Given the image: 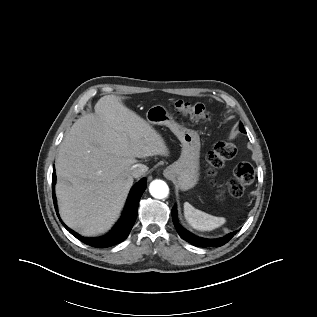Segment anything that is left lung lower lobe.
Wrapping results in <instances>:
<instances>
[{"mask_svg": "<svg viewBox=\"0 0 317 317\" xmlns=\"http://www.w3.org/2000/svg\"><path fill=\"white\" fill-rule=\"evenodd\" d=\"M172 220L174 223V226L180 235L182 239L185 241L191 243L194 246L197 247H220L226 244L236 233L237 231L231 232L228 235L218 238V239H206L202 237H198L189 231H187L185 228H183L177 219V212H176V206L172 209Z\"/></svg>", "mask_w": 317, "mask_h": 317, "instance_id": "left-lung-lower-lobe-1", "label": "left lung lower lobe"}]
</instances>
